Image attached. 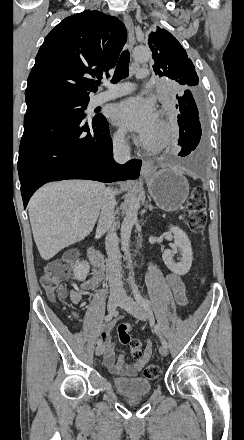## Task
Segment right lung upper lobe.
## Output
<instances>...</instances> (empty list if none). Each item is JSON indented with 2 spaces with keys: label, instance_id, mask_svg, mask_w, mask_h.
<instances>
[{
  "label": "right lung upper lobe",
  "instance_id": "cb5924a9",
  "mask_svg": "<svg viewBox=\"0 0 244 440\" xmlns=\"http://www.w3.org/2000/svg\"><path fill=\"white\" fill-rule=\"evenodd\" d=\"M126 39L124 24L97 10L65 18L39 49L28 77L26 99L89 98L98 89L91 77H109Z\"/></svg>",
  "mask_w": 244,
  "mask_h": 440
}]
</instances>
